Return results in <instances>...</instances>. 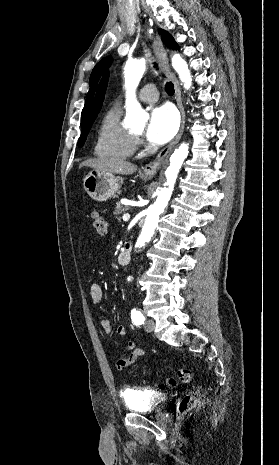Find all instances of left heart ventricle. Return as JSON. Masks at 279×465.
<instances>
[{
    "instance_id": "obj_1",
    "label": "left heart ventricle",
    "mask_w": 279,
    "mask_h": 465,
    "mask_svg": "<svg viewBox=\"0 0 279 465\" xmlns=\"http://www.w3.org/2000/svg\"><path fill=\"white\" fill-rule=\"evenodd\" d=\"M142 133V130H139L136 132V134L140 135Z\"/></svg>"
}]
</instances>
